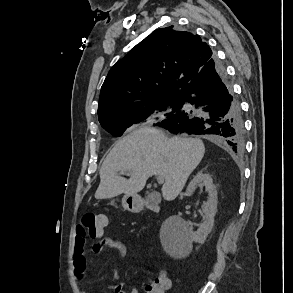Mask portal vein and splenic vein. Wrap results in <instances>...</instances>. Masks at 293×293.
I'll return each mask as SVG.
<instances>
[{
	"label": "portal vein and splenic vein",
	"instance_id": "1",
	"mask_svg": "<svg viewBox=\"0 0 293 293\" xmlns=\"http://www.w3.org/2000/svg\"><path fill=\"white\" fill-rule=\"evenodd\" d=\"M157 182L159 183V184H162V183H164V178L162 177V176H157Z\"/></svg>",
	"mask_w": 293,
	"mask_h": 293
}]
</instances>
